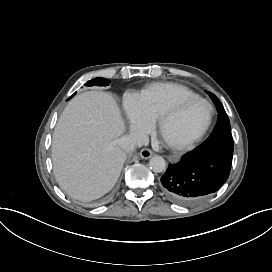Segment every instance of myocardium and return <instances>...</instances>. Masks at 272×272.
I'll list each match as a JSON object with an SVG mask.
<instances>
[{"mask_svg":"<svg viewBox=\"0 0 272 272\" xmlns=\"http://www.w3.org/2000/svg\"><path fill=\"white\" fill-rule=\"evenodd\" d=\"M192 103H201L206 110V116L203 124L194 132L185 135L183 137H179L178 144L180 146H186L191 144L192 142L196 141L198 138H200L209 128L212 117H213V106L211 103L200 97V96H191V97H185L179 100L173 107L171 114L168 115L167 113H163L161 116V129L165 136H167V128H168V118L171 116H174L176 114H179L183 112L187 106H189Z\"/></svg>","mask_w":272,"mask_h":272,"instance_id":"1","label":"myocardium"}]
</instances>
